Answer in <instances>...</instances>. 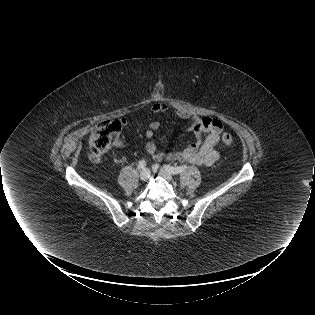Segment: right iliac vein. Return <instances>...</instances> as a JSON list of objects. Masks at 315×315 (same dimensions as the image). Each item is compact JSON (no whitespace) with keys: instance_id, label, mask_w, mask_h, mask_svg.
<instances>
[{"instance_id":"63e3f726","label":"right iliac vein","mask_w":315,"mask_h":315,"mask_svg":"<svg viewBox=\"0 0 315 315\" xmlns=\"http://www.w3.org/2000/svg\"><path fill=\"white\" fill-rule=\"evenodd\" d=\"M149 177H150V171L148 170V169H142L141 171H140V179L142 180V181H146V180H148L149 179Z\"/></svg>"}]
</instances>
